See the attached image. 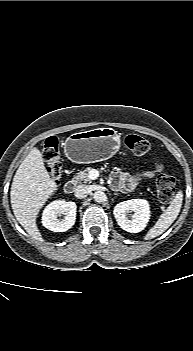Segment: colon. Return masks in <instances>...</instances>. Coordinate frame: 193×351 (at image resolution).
<instances>
[{"mask_svg":"<svg viewBox=\"0 0 193 351\" xmlns=\"http://www.w3.org/2000/svg\"><path fill=\"white\" fill-rule=\"evenodd\" d=\"M125 145L136 156H144L150 153L151 145L145 138L130 134L125 138ZM42 158L48 165V172L51 180L57 184L62 177V169L59 155V142L56 137L46 140L42 151ZM156 167L160 172L156 179V190L162 202H169L175 194V179L172 175L163 172L164 165L156 159Z\"/></svg>","mask_w":193,"mask_h":351,"instance_id":"obj_1","label":"colon"}]
</instances>
